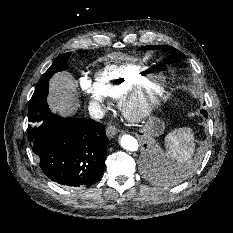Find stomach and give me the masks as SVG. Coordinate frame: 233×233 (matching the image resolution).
I'll return each instance as SVG.
<instances>
[{
    "label": "stomach",
    "instance_id": "obj_1",
    "mask_svg": "<svg viewBox=\"0 0 233 233\" xmlns=\"http://www.w3.org/2000/svg\"><path fill=\"white\" fill-rule=\"evenodd\" d=\"M165 129L164 122L155 116L149 117L145 122L142 131L149 137L158 136L163 133Z\"/></svg>",
    "mask_w": 233,
    "mask_h": 233
}]
</instances>
